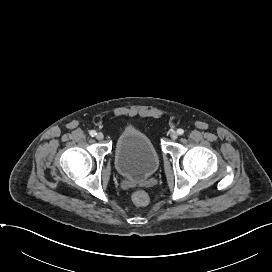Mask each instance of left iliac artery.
I'll list each match as a JSON object with an SVG mask.
<instances>
[{
  "mask_svg": "<svg viewBox=\"0 0 272 272\" xmlns=\"http://www.w3.org/2000/svg\"><path fill=\"white\" fill-rule=\"evenodd\" d=\"M177 133H178L179 135H183L184 130H183V129H178V130H177Z\"/></svg>",
  "mask_w": 272,
  "mask_h": 272,
  "instance_id": "left-iliac-artery-1",
  "label": "left iliac artery"
}]
</instances>
